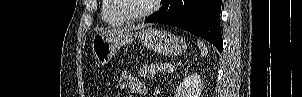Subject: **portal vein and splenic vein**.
I'll list each match as a JSON object with an SVG mask.
<instances>
[{"label":"portal vein and splenic vein","mask_w":302,"mask_h":97,"mask_svg":"<svg viewBox=\"0 0 302 97\" xmlns=\"http://www.w3.org/2000/svg\"><path fill=\"white\" fill-rule=\"evenodd\" d=\"M174 71V66H170L168 72H173Z\"/></svg>","instance_id":"1"}]
</instances>
